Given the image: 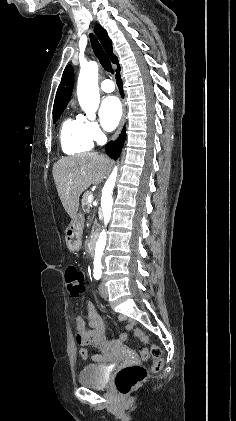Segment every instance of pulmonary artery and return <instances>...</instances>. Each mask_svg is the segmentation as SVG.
I'll return each instance as SVG.
<instances>
[{"mask_svg": "<svg viewBox=\"0 0 236 421\" xmlns=\"http://www.w3.org/2000/svg\"><path fill=\"white\" fill-rule=\"evenodd\" d=\"M100 86L104 92H113L116 88L115 83L107 79L102 81Z\"/></svg>", "mask_w": 236, "mask_h": 421, "instance_id": "e3ab8cb5", "label": "pulmonary artery"}]
</instances>
